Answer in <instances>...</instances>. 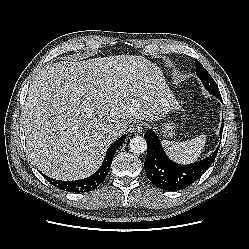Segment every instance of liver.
Returning a JSON list of instances; mask_svg holds the SVG:
<instances>
[{
  "mask_svg": "<svg viewBox=\"0 0 249 249\" xmlns=\"http://www.w3.org/2000/svg\"><path fill=\"white\" fill-rule=\"evenodd\" d=\"M172 98L162 70L142 56L47 65L29 86L22 113L30 158L54 179L88 177L119 137L113 129L162 119Z\"/></svg>",
  "mask_w": 249,
  "mask_h": 249,
  "instance_id": "obj_1",
  "label": "liver"
}]
</instances>
